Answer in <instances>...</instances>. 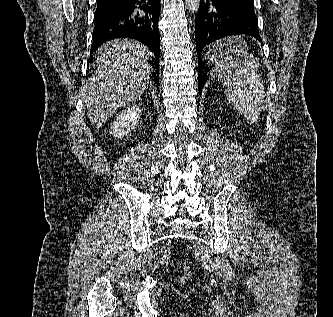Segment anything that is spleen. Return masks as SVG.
<instances>
[{"instance_id":"1","label":"spleen","mask_w":333,"mask_h":317,"mask_svg":"<svg viewBox=\"0 0 333 317\" xmlns=\"http://www.w3.org/2000/svg\"><path fill=\"white\" fill-rule=\"evenodd\" d=\"M221 48L228 63L223 73L226 98L253 124L261 115L265 99L258 63L246 52V43L240 37L224 39Z\"/></svg>"}]
</instances>
